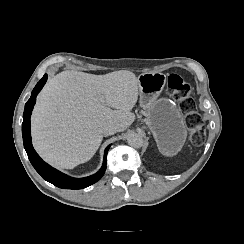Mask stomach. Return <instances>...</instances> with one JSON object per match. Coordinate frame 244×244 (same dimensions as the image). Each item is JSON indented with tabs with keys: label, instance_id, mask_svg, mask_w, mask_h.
<instances>
[{
	"label": "stomach",
	"instance_id": "0dacf381",
	"mask_svg": "<svg viewBox=\"0 0 244 244\" xmlns=\"http://www.w3.org/2000/svg\"><path fill=\"white\" fill-rule=\"evenodd\" d=\"M138 82L140 105L159 152L167 157L176 156L186 142L187 126L175 101L159 97L166 84L165 74L144 73L139 76Z\"/></svg>",
	"mask_w": 244,
	"mask_h": 244
}]
</instances>
